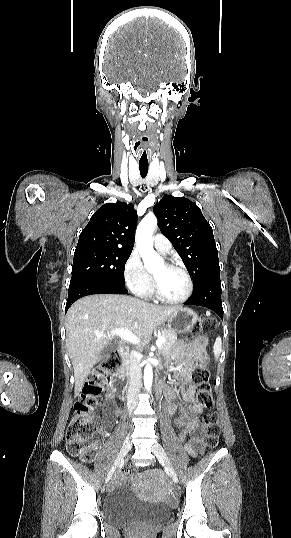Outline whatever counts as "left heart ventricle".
<instances>
[{
    "instance_id": "1",
    "label": "left heart ventricle",
    "mask_w": 291,
    "mask_h": 538,
    "mask_svg": "<svg viewBox=\"0 0 291 538\" xmlns=\"http://www.w3.org/2000/svg\"><path fill=\"white\" fill-rule=\"evenodd\" d=\"M152 275L164 296L177 299L185 294L187 281L181 271L167 268L164 263H161L152 271Z\"/></svg>"
}]
</instances>
